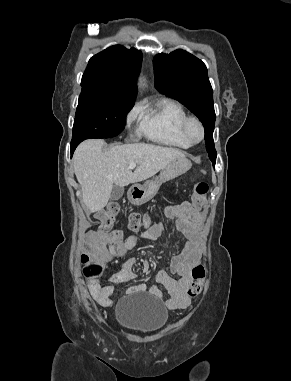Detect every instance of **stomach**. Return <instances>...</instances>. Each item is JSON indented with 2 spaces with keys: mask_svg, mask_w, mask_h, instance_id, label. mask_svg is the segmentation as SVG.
Returning <instances> with one entry per match:
<instances>
[{
  "mask_svg": "<svg viewBox=\"0 0 291 381\" xmlns=\"http://www.w3.org/2000/svg\"><path fill=\"white\" fill-rule=\"evenodd\" d=\"M191 166V161L185 156L173 160L154 180H148L143 185H133L128 192L129 201L134 205L146 203L157 194L162 183L184 174Z\"/></svg>",
  "mask_w": 291,
  "mask_h": 381,
  "instance_id": "1",
  "label": "stomach"
}]
</instances>
